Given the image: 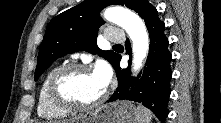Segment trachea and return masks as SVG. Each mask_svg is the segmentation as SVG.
Here are the masks:
<instances>
[{"instance_id":"1","label":"trachea","mask_w":221,"mask_h":123,"mask_svg":"<svg viewBox=\"0 0 221 123\" xmlns=\"http://www.w3.org/2000/svg\"><path fill=\"white\" fill-rule=\"evenodd\" d=\"M114 46H121L120 44L114 45Z\"/></svg>"}]
</instances>
